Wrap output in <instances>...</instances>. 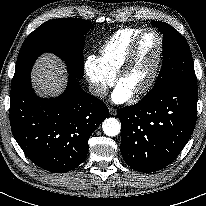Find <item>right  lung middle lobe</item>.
<instances>
[{
    "label": "right lung middle lobe",
    "mask_w": 206,
    "mask_h": 206,
    "mask_svg": "<svg viewBox=\"0 0 206 206\" xmlns=\"http://www.w3.org/2000/svg\"><path fill=\"white\" fill-rule=\"evenodd\" d=\"M92 24L84 19L62 18L43 23L24 41L15 66L12 87L30 76L36 58L44 52H52L67 64L70 75L83 76V35Z\"/></svg>",
    "instance_id": "dd1d6c3e"
}]
</instances>
